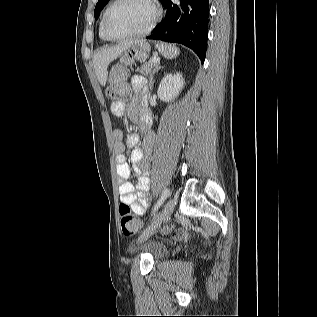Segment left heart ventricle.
<instances>
[{
	"label": "left heart ventricle",
	"mask_w": 317,
	"mask_h": 317,
	"mask_svg": "<svg viewBox=\"0 0 317 317\" xmlns=\"http://www.w3.org/2000/svg\"><path fill=\"white\" fill-rule=\"evenodd\" d=\"M152 9L144 0H123L109 16L107 27L114 36L143 30L152 18Z\"/></svg>",
	"instance_id": "left-heart-ventricle-1"
}]
</instances>
